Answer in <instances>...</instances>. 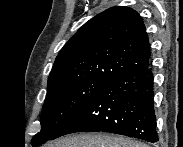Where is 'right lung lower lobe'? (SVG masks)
<instances>
[{"instance_id": "obj_1", "label": "right lung lower lobe", "mask_w": 183, "mask_h": 147, "mask_svg": "<svg viewBox=\"0 0 183 147\" xmlns=\"http://www.w3.org/2000/svg\"><path fill=\"white\" fill-rule=\"evenodd\" d=\"M152 68L123 75L100 89L53 139L75 132H108L157 142Z\"/></svg>"}]
</instances>
